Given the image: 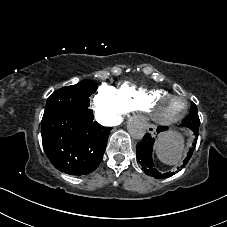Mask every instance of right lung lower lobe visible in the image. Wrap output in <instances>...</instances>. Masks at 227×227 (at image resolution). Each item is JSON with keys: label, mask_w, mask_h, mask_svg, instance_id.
Masks as SVG:
<instances>
[{"label": "right lung lower lobe", "mask_w": 227, "mask_h": 227, "mask_svg": "<svg viewBox=\"0 0 227 227\" xmlns=\"http://www.w3.org/2000/svg\"><path fill=\"white\" fill-rule=\"evenodd\" d=\"M94 120L92 110H66L42 119V144L61 172L83 175L100 164L112 128Z\"/></svg>", "instance_id": "1"}]
</instances>
